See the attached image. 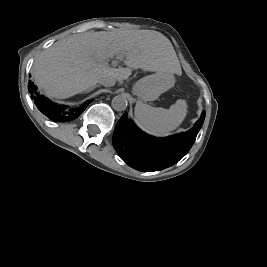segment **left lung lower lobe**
I'll return each instance as SVG.
<instances>
[{"label":"left lung lower lobe","mask_w":267,"mask_h":267,"mask_svg":"<svg viewBox=\"0 0 267 267\" xmlns=\"http://www.w3.org/2000/svg\"><path fill=\"white\" fill-rule=\"evenodd\" d=\"M204 119L205 112L186 133L157 139L142 132L123 114L114 129L113 145L132 168L145 172L159 171L177 163L187 154Z\"/></svg>","instance_id":"obj_1"}]
</instances>
